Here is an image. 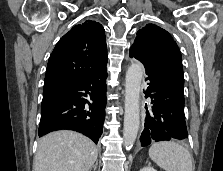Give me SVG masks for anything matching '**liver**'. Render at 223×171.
<instances>
[{
	"label": "liver",
	"mask_w": 223,
	"mask_h": 171,
	"mask_svg": "<svg viewBox=\"0 0 223 171\" xmlns=\"http://www.w3.org/2000/svg\"><path fill=\"white\" fill-rule=\"evenodd\" d=\"M98 156L95 144L86 136L61 130L38 141L35 171H89Z\"/></svg>",
	"instance_id": "liver-1"
}]
</instances>
